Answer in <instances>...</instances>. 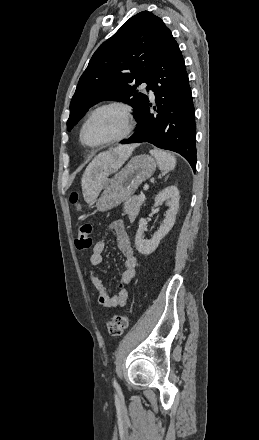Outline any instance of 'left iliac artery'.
Returning <instances> with one entry per match:
<instances>
[{
  "label": "left iliac artery",
  "instance_id": "1",
  "mask_svg": "<svg viewBox=\"0 0 259 440\" xmlns=\"http://www.w3.org/2000/svg\"><path fill=\"white\" fill-rule=\"evenodd\" d=\"M113 386H114L116 389L119 388V385H118V383H117V381H116L115 378H114V380H113Z\"/></svg>",
  "mask_w": 259,
  "mask_h": 440
}]
</instances>
